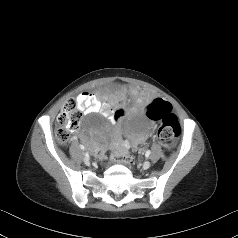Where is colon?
I'll return each mask as SVG.
<instances>
[{
    "label": "colon",
    "instance_id": "obj_1",
    "mask_svg": "<svg viewBox=\"0 0 238 238\" xmlns=\"http://www.w3.org/2000/svg\"><path fill=\"white\" fill-rule=\"evenodd\" d=\"M146 115L153 121L159 122L157 137L165 147H169L180 135V124L177 116L172 112V107L167 101L156 99L146 107ZM81 109L77 101L73 98L68 99L57 118L56 138L65 145L70 140L71 132L76 130L81 120ZM122 116V111H116L115 119ZM115 163L130 165L134 162L133 156L118 148L111 156Z\"/></svg>",
    "mask_w": 238,
    "mask_h": 238
}]
</instances>
